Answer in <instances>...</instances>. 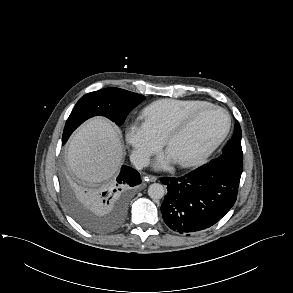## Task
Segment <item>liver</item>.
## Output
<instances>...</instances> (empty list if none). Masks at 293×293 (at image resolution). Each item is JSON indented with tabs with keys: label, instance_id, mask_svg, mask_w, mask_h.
Returning <instances> with one entry per match:
<instances>
[{
	"label": "liver",
	"instance_id": "6515ba94",
	"mask_svg": "<svg viewBox=\"0 0 293 293\" xmlns=\"http://www.w3.org/2000/svg\"><path fill=\"white\" fill-rule=\"evenodd\" d=\"M119 133L106 119L96 117L83 124L72 137L67 163L82 181L100 183L114 176L124 150Z\"/></svg>",
	"mask_w": 293,
	"mask_h": 293
}]
</instances>
